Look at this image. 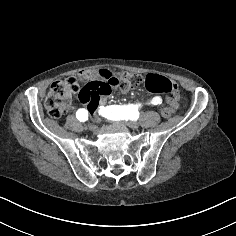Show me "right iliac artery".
I'll return each instance as SVG.
<instances>
[{"label": "right iliac artery", "mask_w": 236, "mask_h": 236, "mask_svg": "<svg viewBox=\"0 0 236 236\" xmlns=\"http://www.w3.org/2000/svg\"><path fill=\"white\" fill-rule=\"evenodd\" d=\"M76 117L80 122H85L86 120H88V111L86 109H79L76 112Z\"/></svg>", "instance_id": "right-iliac-artery-1"}]
</instances>
